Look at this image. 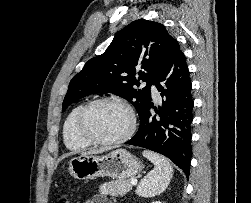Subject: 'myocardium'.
Segmentation results:
<instances>
[{"label":"myocardium","instance_id":"f54148a6","mask_svg":"<svg viewBox=\"0 0 251 203\" xmlns=\"http://www.w3.org/2000/svg\"><path fill=\"white\" fill-rule=\"evenodd\" d=\"M101 103L118 104L121 107H123L125 109V111L128 113L129 127H128L127 131L123 135H121L120 137L115 138V139H111V140H101V139H97V138L91 136L86 131L85 119H86L88 112L90 111V109L92 107H94L97 104H101ZM136 125H137L136 115H135L132 107L127 102H125L124 100H122L118 97H115V96H105V97H100V98H96L94 100H91L81 107V109L77 113V116L75 119V132L80 139H82L83 141H85L89 145L115 146V145L122 144V143L126 142L127 140H129L133 136V134L136 130Z\"/></svg>","mask_w":251,"mask_h":203}]
</instances>
